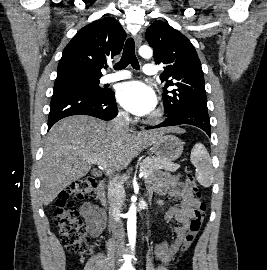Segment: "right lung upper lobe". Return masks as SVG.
I'll return each mask as SVG.
<instances>
[{"label":"right lung upper lobe","mask_w":267,"mask_h":270,"mask_svg":"<svg viewBox=\"0 0 267 270\" xmlns=\"http://www.w3.org/2000/svg\"><path fill=\"white\" fill-rule=\"evenodd\" d=\"M125 38V31L114 18H103L86 25L64 49L57 77L82 75L100 78L104 63L121 52Z\"/></svg>","instance_id":"1"}]
</instances>
